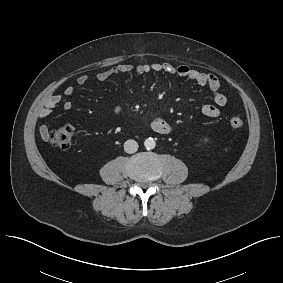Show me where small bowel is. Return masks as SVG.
<instances>
[{"mask_svg": "<svg viewBox=\"0 0 283 283\" xmlns=\"http://www.w3.org/2000/svg\"><path fill=\"white\" fill-rule=\"evenodd\" d=\"M150 72L176 75L209 89L212 92L214 104H206L201 109L202 114L208 118L219 117L220 107L225 106L227 103L226 95L219 91L221 85L219 79L215 75L198 71L186 65L176 66L171 63H151L134 66L131 64H120L98 73L97 79L104 82L112 76L119 74H147ZM87 80L88 77L85 74H82L77 77L76 83L78 85H84ZM74 92L75 88L72 85H67L62 93H55L48 96L38 112V117L40 119L47 118L51 114L52 110L58 105L62 106L66 110L71 109L72 102L68 99V97L72 96ZM115 112L119 114L121 112V108L119 106L116 107ZM151 128L159 134H169L172 131L171 125L162 118L153 119L151 122ZM47 133L48 128L46 126H41L40 134L43 137H46Z\"/></svg>", "mask_w": 283, "mask_h": 283, "instance_id": "1", "label": "small bowel"}]
</instances>
